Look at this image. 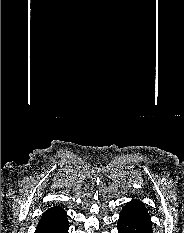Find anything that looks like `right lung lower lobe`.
Segmentation results:
<instances>
[{
	"label": "right lung lower lobe",
	"instance_id": "1",
	"mask_svg": "<svg viewBox=\"0 0 184 233\" xmlns=\"http://www.w3.org/2000/svg\"><path fill=\"white\" fill-rule=\"evenodd\" d=\"M35 233H68L66 212L59 206L48 209L41 216Z\"/></svg>",
	"mask_w": 184,
	"mask_h": 233
}]
</instances>
